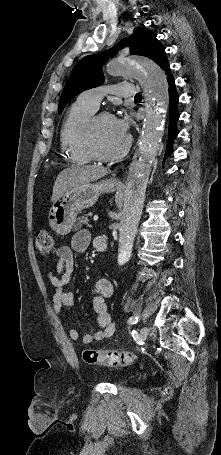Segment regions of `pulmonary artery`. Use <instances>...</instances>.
<instances>
[{
	"mask_svg": "<svg viewBox=\"0 0 221 455\" xmlns=\"http://www.w3.org/2000/svg\"><path fill=\"white\" fill-rule=\"evenodd\" d=\"M107 93H114L118 96H132L136 95V88L130 83H118L111 86H98L85 90L79 96L80 99L94 108L99 107V103L104 95Z\"/></svg>",
	"mask_w": 221,
	"mask_h": 455,
	"instance_id": "e3ab8cb5",
	"label": "pulmonary artery"
}]
</instances>
